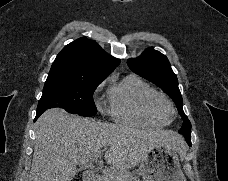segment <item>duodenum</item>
Instances as JSON below:
<instances>
[{
    "instance_id": "obj_1",
    "label": "duodenum",
    "mask_w": 228,
    "mask_h": 181,
    "mask_svg": "<svg viewBox=\"0 0 228 181\" xmlns=\"http://www.w3.org/2000/svg\"><path fill=\"white\" fill-rule=\"evenodd\" d=\"M81 178L85 179L84 181H97V175L95 172H86L81 175Z\"/></svg>"
}]
</instances>
